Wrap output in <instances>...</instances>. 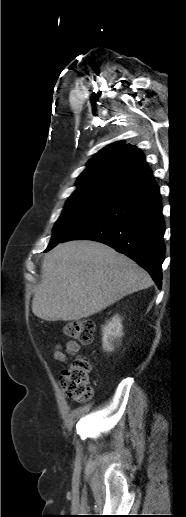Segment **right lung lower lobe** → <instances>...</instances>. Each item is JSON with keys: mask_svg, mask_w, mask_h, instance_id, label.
<instances>
[{"mask_svg": "<svg viewBox=\"0 0 186 517\" xmlns=\"http://www.w3.org/2000/svg\"><path fill=\"white\" fill-rule=\"evenodd\" d=\"M164 232L159 187L154 184L118 200L61 242L89 239L105 243L138 263L161 288Z\"/></svg>", "mask_w": 186, "mask_h": 517, "instance_id": "obj_1", "label": "right lung lower lobe"}]
</instances>
